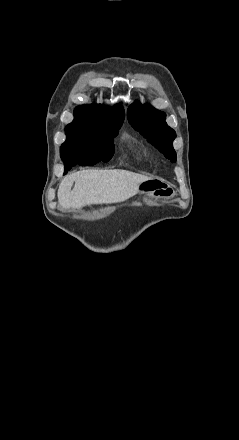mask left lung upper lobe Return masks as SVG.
<instances>
[{
  "label": "left lung upper lobe",
  "mask_w": 239,
  "mask_h": 440,
  "mask_svg": "<svg viewBox=\"0 0 239 440\" xmlns=\"http://www.w3.org/2000/svg\"><path fill=\"white\" fill-rule=\"evenodd\" d=\"M127 116L132 127L148 139L170 161H176L172 142L175 131L165 122V113L138 101L129 105Z\"/></svg>",
  "instance_id": "5c2ea615"
}]
</instances>
